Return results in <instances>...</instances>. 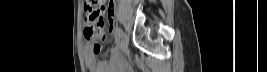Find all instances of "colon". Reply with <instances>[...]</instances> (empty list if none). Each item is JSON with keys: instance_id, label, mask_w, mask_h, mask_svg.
Returning <instances> with one entry per match:
<instances>
[{"instance_id": "colon-1", "label": "colon", "mask_w": 267, "mask_h": 72, "mask_svg": "<svg viewBox=\"0 0 267 72\" xmlns=\"http://www.w3.org/2000/svg\"><path fill=\"white\" fill-rule=\"evenodd\" d=\"M104 12L103 2L99 0H87L84 4V34L93 41V50L100 53L106 39L102 23Z\"/></svg>"}]
</instances>
